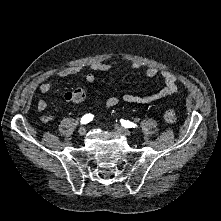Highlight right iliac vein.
<instances>
[{
  "instance_id": "obj_1",
  "label": "right iliac vein",
  "mask_w": 221,
  "mask_h": 221,
  "mask_svg": "<svg viewBox=\"0 0 221 221\" xmlns=\"http://www.w3.org/2000/svg\"><path fill=\"white\" fill-rule=\"evenodd\" d=\"M78 133H79V135L84 136V135L86 134V128L81 127V128L78 130Z\"/></svg>"
}]
</instances>
